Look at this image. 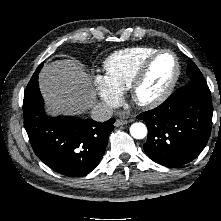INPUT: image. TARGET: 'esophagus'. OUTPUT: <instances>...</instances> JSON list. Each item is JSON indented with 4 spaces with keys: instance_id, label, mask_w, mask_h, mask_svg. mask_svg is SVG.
<instances>
[{
    "instance_id": "34e87169",
    "label": "esophagus",
    "mask_w": 221,
    "mask_h": 221,
    "mask_svg": "<svg viewBox=\"0 0 221 221\" xmlns=\"http://www.w3.org/2000/svg\"><path fill=\"white\" fill-rule=\"evenodd\" d=\"M127 123H128V121L126 119L119 118V119H116L114 125L116 127H118V126H121V125H125Z\"/></svg>"
}]
</instances>
